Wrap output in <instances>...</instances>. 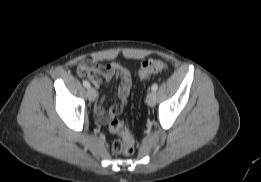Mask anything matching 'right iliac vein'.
Wrapping results in <instances>:
<instances>
[{"label":"right iliac vein","mask_w":261,"mask_h":182,"mask_svg":"<svg viewBox=\"0 0 261 182\" xmlns=\"http://www.w3.org/2000/svg\"><path fill=\"white\" fill-rule=\"evenodd\" d=\"M87 95L90 101H94L97 95L96 90L90 87L87 91Z\"/></svg>","instance_id":"1"}]
</instances>
